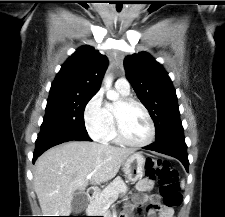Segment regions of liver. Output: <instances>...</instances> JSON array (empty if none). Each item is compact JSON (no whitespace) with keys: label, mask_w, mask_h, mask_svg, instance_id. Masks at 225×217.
<instances>
[{"label":"liver","mask_w":225,"mask_h":217,"mask_svg":"<svg viewBox=\"0 0 225 217\" xmlns=\"http://www.w3.org/2000/svg\"><path fill=\"white\" fill-rule=\"evenodd\" d=\"M134 150L85 141H71L44 152L35 162L34 189L44 216H69L76 190L89 182L114 178ZM92 174L91 179L87 175Z\"/></svg>","instance_id":"1"}]
</instances>
